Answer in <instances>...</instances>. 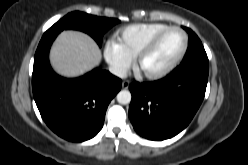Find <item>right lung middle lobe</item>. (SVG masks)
I'll return each mask as SVG.
<instances>
[{"mask_svg":"<svg viewBox=\"0 0 248 165\" xmlns=\"http://www.w3.org/2000/svg\"><path fill=\"white\" fill-rule=\"evenodd\" d=\"M119 22L115 18L97 17L75 11L61 18L44 33L42 38L58 35L64 29H75L88 33L101 46L104 33Z\"/></svg>","mask_w":248,"mask_h":165,"instance_id":"obj_1","label":"right lung middle lobe"}]
</instances>
